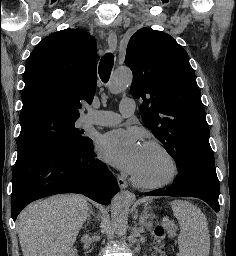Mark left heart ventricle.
<instances>
[{
  "label": "left heart ventricle",
  "mask_w": 236,
  "mask_h": 256,
  "mask_svg": "<svg viewBox=\"0 0 236 256\" xmlns=\"http://www.w3.org/2000/svg\"><path fill=\"white\" fill-rule=\"evenodd\" d=\"M171 171V165L163 152L144 146L134 174L146 183H157L165 179Z\"/></svg>",
  "instance_id": "obj_1"
}]
</instances>
